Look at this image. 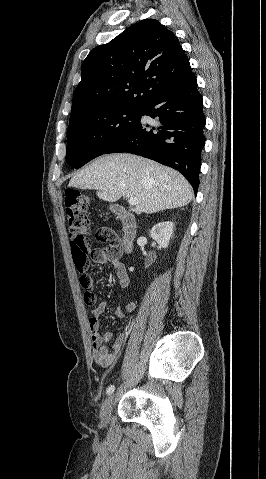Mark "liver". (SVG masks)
I'll return each mask as SVG.
<instances>
[{"instance_id":"obj_1","label":"liver","mask_w":266,"mask_h":479,"mask_svg":"<svg viewBox=\"0 0 266 479\" xmlns=\"http://www.w3.org/2000/svg\"><path fill=\"white\" fill-rule=\"evenodd\" d=\"M69 186L96 190L108 202L136 197L137 213L174 209L193 199L191 185L178 171L129 153L95 159L71 178Z\"/></svg>"}]
</instances>
